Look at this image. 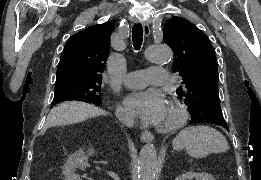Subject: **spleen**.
Instances as JSON below:
<instances>
[{"label": "spleen", "mask_w": 261, "mask_h": 180, "mask_svg": "<svg viewBox=\"0 0 261 180\" xmlns=\"http://www.w3.org/2000/svg\"><path fill=\"white\" fill-rule=\"evenodd\" d=\"M178 144L191 158H206L208 154L228 152L229 146L223 134L209 126H190L177 136Z\"/></svg>", "instance_id": "obj_1"}]
</instances>
